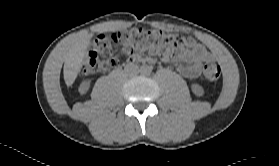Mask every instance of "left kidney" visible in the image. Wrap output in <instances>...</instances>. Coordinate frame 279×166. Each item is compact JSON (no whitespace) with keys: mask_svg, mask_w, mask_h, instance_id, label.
<instances>
[{"mask_svg":"<svg viewBox=\"0 0 279 166\" xmlns=\"http://www.w3.org/2000/svg\"><path fill=\"white\" fill-rule=\"evenodd\" d=\"M191 90L196 96H202L204 94L203 87L196 83L191 85Z\"/></svg>","mask_w":279,"mask_h":166,"instance_id":"left-kidney-1","label":"left kidney"}]
</instances>
